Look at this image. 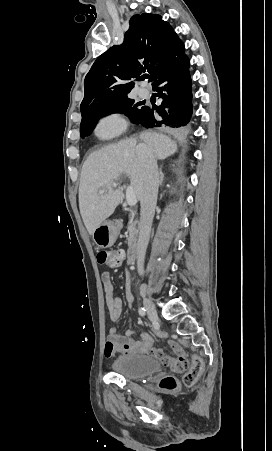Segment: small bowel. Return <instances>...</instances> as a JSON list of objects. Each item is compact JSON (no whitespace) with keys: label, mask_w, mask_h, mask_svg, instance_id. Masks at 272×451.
I'll use <instances>...</instances> for the list:
<instances>
[{"label":"small bowel","mask_w":272,"mask_h":451,"mask_svg":"<svg viewBox=\"0 0 272 451\" xmlns=\"http://www.w3.org/2000/svg\"><path fill=\"white\" fill-rule=\"evenodd\" d=\"M101 281L103 284L104 297L109 310L110 319L113 322H116L122 315V300L115 294L112 277L109 271L105 270L102 272ZM126 299L129 306H132L134 297L131 292L129 279L126 284ZM133 333L134 332L132 330H127L124 334H121L116 327L110 328L104 348L105 356L107 358H111L116 352H120L125 356L152 354L157 359L158 352H164L162 349L154 346L153 339L148 333H142L139 339L134 338L132 336ZM173 343L178 344L175 341H169V348ZM178 346L179 348H182L180 344H178Z\"/></svg>","instance_id":"small-bowel-1"}]
</instances>
